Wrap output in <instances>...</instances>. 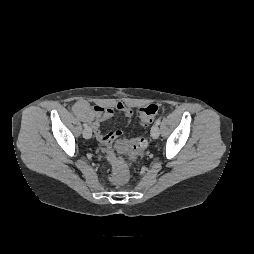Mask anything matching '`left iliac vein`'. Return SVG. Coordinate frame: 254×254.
Listing matches in <instances>:
<instances>
[{"label": "left iliac vein", "mask_w": 254, "mask_h": 254, "mask_svg": "<svg viewBox=\"0 0 254 254\" xmlns=\"http://www.w3.org/2000/svg\"><path fill=\"white\" fill-rule=\"evenodd\" d=\"M160 131L158 125H153L151 128V136L154 139H157L159 137Z\"/></svg>", "instance_id": "obj_1"}]
</instances>
